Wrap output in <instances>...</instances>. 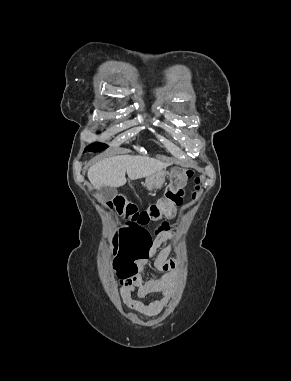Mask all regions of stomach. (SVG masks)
<instances>
[{"label": "stomach", "instance_id": "1", "mask_svg": "<svg viewBox=\"0 0 291 381\" xmlns=\"http://www.w3.org/2000/svg\"><path fill=\"white\" fill-rule=\"evenodd\" d=\"M169 173L167 171H159L146 178V187L148 190L152 191L154 189H161L165 183V177Z\"/></svg>", "mask_w": 291, "mask_h": 381}]
</instances>
